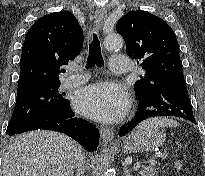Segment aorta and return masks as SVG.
Instances as JSON below:
<instances>
[{
    "label": "aorta",
    "mask_w": 205,
    "mask_h": 176,
    "mask_svg": "<svg viewBox=\"0 0 205 176\" xmlns=\"http://www.w3.org/2000/svg\"><path fill=\"white\" fill-rule=\"evenodd\" d=\"M104 45H105V48L108 50L119 49L123 45V38L116 33L109 34L105 37ZM105 176H114V175L109 170L105 173Z\"/></svg>",
    "instance_id": "1"
}]
</instances>
